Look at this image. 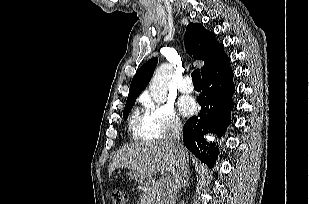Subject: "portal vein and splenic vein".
<instances>
[{
	"mask_svg": "<svg viewBox=\"0 0 309 204\" xmlns=\"http://www.w3.org/2000/svg\"><path fill=\"white\" fill-rule=\"evenodd\" d=\"M161 181H162L163 183H166V182L168 181V178H167V177H163V178L161 179Z\"/></svg>",
	"mask_w": 309,
	"mask_h": 204,
	"instance_id": "18ae733b",
	"label": "portal vein and splenic vein"
}]
</instances>
